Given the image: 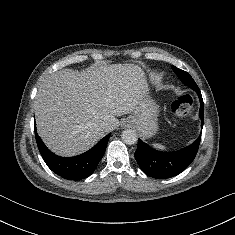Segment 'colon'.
Returning <instances> with one entry per match:
<instances>
[{
	"label": "colon",
	"instance_id": "1",
	"mask_svg": "<svg viewBox=\"0 0 235 235\" xmlns=\"http://www.w3.org/2000/svg\"><path fill=\"white\" fill-rule=\"evenodd\" d=\"M172 112L175 118L189 117L193 112V100L189 95H182L172 104Z\"/></svg>",
	"mask_w": 235,
	"mask_h": 235
}]
</instances>
